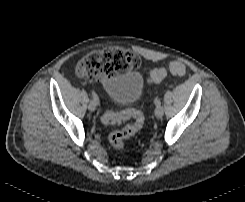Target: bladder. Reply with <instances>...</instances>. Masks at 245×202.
<instances>
[{
    "mask_svg": "<svg viewBox=\"0 0 245 202\" xmlns=\"http://www.w3.org/2000/svg\"><path fill=\"white\" fill-rule=\"evenodd\" d=\"M105 90L115 105H125L143 91L140 75L136 72L122 74L106 84Z\"/></svg>",
    "mask_w": 245,
    "mask_h": 202,
    "instance_id": "bladder-1",
    "label": "bladder"
}]
</instances>
